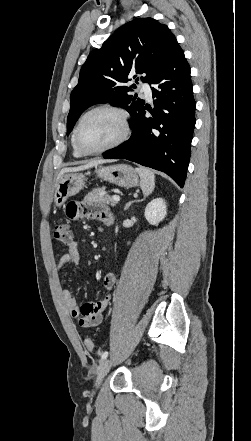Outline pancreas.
Wrapping results in <instances>:
<instances>
[{
    "mask_svg": "<svg viewBox=\"0 0 251 441\" xmlns=\"http://www.w3.org/2000/svg\"><path fill=\"white\" fill-rule=\"evenodd\" d=\"M104 192L105 187L95 188L86 195L85 200L100 204H110L114 207L116 202H114L109 195H102Z\"/></svg>",
    "mask_w": 251,
    "mask_h": 441,
    "instance_id": "1",
    "label": "pancreas"
}]
</instances>
